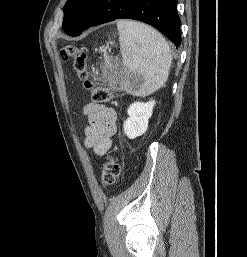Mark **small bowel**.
Wrapping results in <instances>:
<instances>
[{"instance_id": "obj_1", "label": "small bowel", "mask_w": 247, "mask_h": 257, "mask_svg": "<svg viewBox=\"0 0 247 257\" xmlns=\"http://www.w3.org/2000/svg\"><path fill=\"white\" fill-rule=\"evenodd\" d=\"M84 114L88 119V126L84 129V147L103 156L111 148L116 132V111L109 106L90 103L84 107Z\"/></svg>"}]
</instances>
